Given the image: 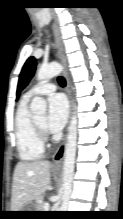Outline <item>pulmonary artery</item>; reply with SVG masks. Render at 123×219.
I'll use <instances>...</instances> for the list:
<instances>
[{"mask_svg":"<svg viewBox=\"0 0 123 219\" xmlns=\"http://www.w3.org/2000/svg\"><path fill=\"white\" fill-rule=\"evenodd\" d=\"M56 90V85L54 83H43L31 88L24 96L26 100H29L35 95H47L51 94Z\"/></svg>","mask_w":123,"mask_h":219,"instance_id":"1","label":"pulmonary artery"}]
</instances>
